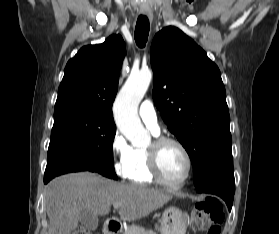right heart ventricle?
I'll list each match as a JSON object with an SVG mask.
<instances>
[{
    "mask_svg": "<svg viewBox=\"0 0 279 234\" xmlns=\"http://www.w3.org/2000/svg\"><path fill=\"white\" fill-rule=\"evenodd\" d=\"M125 177L136 184L148 185L155 182L149 169L148 148H132Z\"/></svg>",
    "mask_w": 279,
    "mask_h": 234,
    "instance_id": "e07e8e85",
    "label": "right heart ventricle"
}]
</instances>
